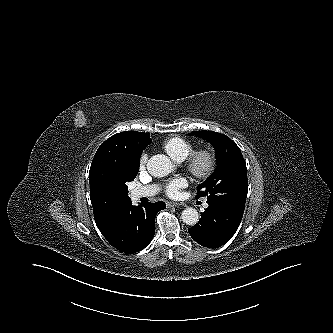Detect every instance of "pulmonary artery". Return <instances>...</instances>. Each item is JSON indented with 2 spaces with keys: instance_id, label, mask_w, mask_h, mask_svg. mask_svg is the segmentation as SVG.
<instances>
[{
  "instance_id": "obj_1",
  "label": "pulmonary artery",
  "mask_w": 333,
  "mask_h": 333,
  "mask_svg": "<svg viewBox=\"0 0 333 333\" xmlns=\"http://www.w3.org/2000/svg\"><path fill=\"white\" fill-rule=\"evenodd\" d=\"M159 190V187L157 185H148V186H142L137 187L132 191V194L135 198H141V197H150L155 195ZM208 204L204 203V207H207Z\"/></svg>"
}]
</instances>
